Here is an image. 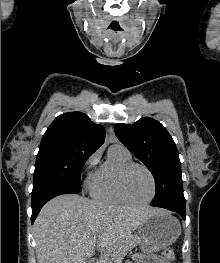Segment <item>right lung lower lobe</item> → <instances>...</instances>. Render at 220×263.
I'll return each mask as SVG.
<instances>
[{"label":"right lung lower lobe","mask_w":220,"mask_h":263,"mask_svg":"<svg viewBox=\"0 0 220 263\" xmlns=\"http://www.w3.org/2000/svg\"><path fill=\"white\" fill-rule=\"evenodd\" d=\"M81 191L82 189L80 187H73L64 184H46L38 187L37 189H33L31 223H34L41 207L53 197L67 193L76 194Z\"/></svg>","instance_id":"1"}]
</instances>
